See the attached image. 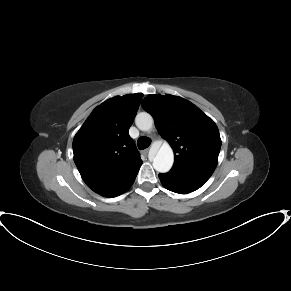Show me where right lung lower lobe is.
I'll return each mask as SVG.
<instances>
[{
    "label": "right lung lower lobe",
    "instance_id": "1",
    "mask_svg": "<svg viewBox=\"0 0 291 291\" xmlns=\"http://www.w3.org/2000/svg\"><path fill=\"white\" fill-rule=\"evenodd\" d=\"M130 187H131V186H130ZM130 187H129V188H130ZM129 188H128V189H129ZM128 189H126V190H128ZM126 190H125V191H126ZM125 191H124V192H125ZM122 193H123V192H122ZM122 193H121V194H122ZM119 195H120V194H119ZM117 196H118V195H117Z\"/></svg>",
    "mask_w": 291,
    "mask_h": 291
}]
</instances>
